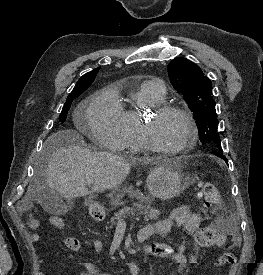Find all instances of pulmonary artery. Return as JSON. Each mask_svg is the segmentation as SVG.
I'll return each mask as SVG.
<instances>
[{
    "mask_svg": "<svg viewBox=\"0 0 263 275\" xmlns=\"http://www.w3.org/2000/svg\"><path fill=\"white\" fill-rule=\"evenodd\" d=\"M147 83L153 86L160 95H164V92H165L164 86L160 80L153 79L148 81Z\"/></svg>",
    "mask_w": 263,
    "mask_h": 275,
    "instance_id": "1",
    "label": "pulmonary artery"
}]
</instances>
